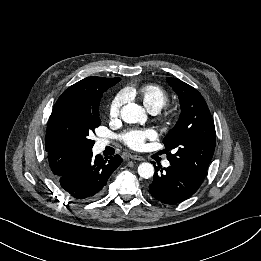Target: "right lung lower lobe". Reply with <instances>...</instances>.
<instances>
[{
    "label": "right lung lower lobe",
    "mask_w": 261,
    "mask_h": 261,
    "mask_svg": "<svg viewBox=\"0 0 261 261\" xmlns=\"http://www.w3.org/2000/svg\"><path fill=\"white\" fill-rule=\"evenodd\" d=\"M122 161L119 155L93 157L92 151H89L57 179L69 198L90 201L101 195L110 175Z\"/></svg>",
    "instance_id": "1"
}]
</instances>
